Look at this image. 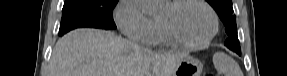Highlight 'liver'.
<instances>
[{"instance_id":"obj_1","label":"liver","mask_w":287,"mask_h":76,"mask_svg":"<svg viewBox=\"0 0 287 76\" xmlns=\"http://www.w3.org/2000/svg\"><path fill=\"white\" fill-rule=\"evenodd\" d=\"M185 57L153 52L110 31L81 28L57 41L49 76H172Z\"/></svg>"}]
</instances>
